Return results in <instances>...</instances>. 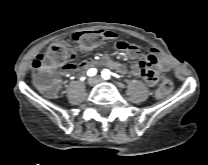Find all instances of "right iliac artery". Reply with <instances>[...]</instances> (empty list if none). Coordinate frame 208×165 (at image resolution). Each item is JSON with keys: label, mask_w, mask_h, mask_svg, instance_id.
<instances>
[{"label": "right iliac artery", "mask_w": 208, "mask_h": 165, "mask_svg": "<svg viewBox=\"0 0 208 165\" xmlns=\"http://www.w3.org/2000/svg\"><path fill=\"white\" fill-rule=\"evenodd\" d=\"M95 74H96V69L95 68H92L88 71L89 76H94Z\"/></svg>", "instance_id": "obj_1"}]
</instances>
